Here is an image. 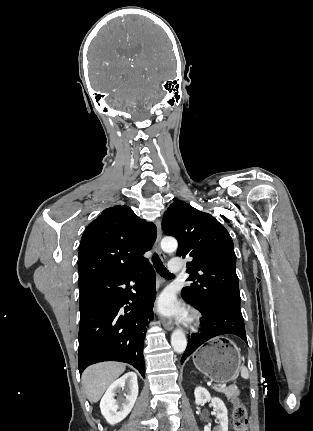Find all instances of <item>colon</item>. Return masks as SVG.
I'll return each instance as SVG.
<instances>
[{
	"label": "colon",
	"mask_w": 313,
	"mask_h": 431,
	"mask_svg": "<svg viewBox=\"0 0 313 431\" xmlns=\"http://www.w3.org/2000/svg\"><path fill=\"white\" fill-rule=\"evenodd\" d=\"M232 425L234 431H247V409L237 398L233 400Z\"/></svg>",
	"instance_id": "colon-1"
}]
</instances>
